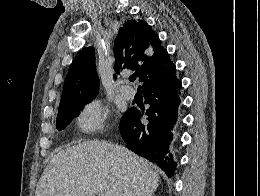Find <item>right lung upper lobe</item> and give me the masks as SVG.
<instances>
[{"mask_svg":"<svg viewBox=\"0 0 260 196\" xmlns=\"http://www.w3.org/2000/svg\"><path fill=\"white\" fill-rule=\"evenodd\" d=\"M117 58L116 72L125 68L136 70L142 85L159 80L175 70L167 51L161 47L159 37L143 20L124 22L114 42ZM99 79L92 46L79 52L65 79L59 110L72 102L97 95ZM58 110V111H59Z\"/></svg>","mask_w":260,"mask_h":196,"instance_id":"cb5924a9","label":"right lung upper lobe"}]
</instances>
